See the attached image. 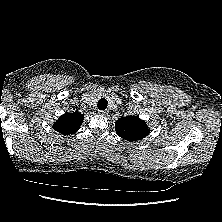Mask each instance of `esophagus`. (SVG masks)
<instances>
[{
	"instance_id": "obj_1",
	"label": "esophagus",
	"mask_w": 222,
	"mask_h": 222,
	"mask_svg": "<svg viewBox=\"0 0 222 222\" xmlns=\"http://www.w3.org/2000/svg\"><path fill=\"white\" fill-rule=\"evenodd\" d=\"M98 113L102 116H107L108 112L106 110H99Z\"/></svg>"
}]
</instances>
